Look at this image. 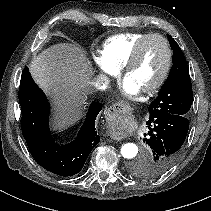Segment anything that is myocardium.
I'll use <instances>...</instances> for the list:
<instances>
[{"label": "myocardium", "mask_w": 211, "mask_h": 211, "mask_svg": "<svg viewBox=\"0 0 211 211\" xmlns=\"http://www.w3.org/2000/svg\"><path fill=\"white\" fill-rule=\"evenodd\" d=\"M154 38L159 39L165 47L166 63H165L164 69H163L160 77L158 78V80L151 87L142 91L144 94H147V95L156 93L164 85V83L166 82V80L169 76V73H170V70L172 67V49L170 47L168 40L163 35H161L159 33L146 34L136 43V45L134 46V48L124 66V76L127 77L129 71L137 62L140 52H141L143 46L145 45V43L148 40L154 39Z\"/></svg>", "instance_id": "f54148a6"}]
</instances>
